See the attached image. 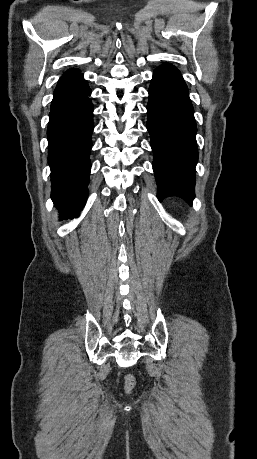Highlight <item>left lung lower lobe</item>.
I'll return each mask as SVG.
<instances>
[{
    "label": "left lung lower lobe",
    "instance_id": "0a47b994",
    "mask_svg": "<svg viewBox=\"0 0 257 459\" xmlns=\"http://www.w3.org/2000/svg\"><path fill=\"white\" fill-rule=\"evenodd\" d=\"M148 92L147 129L154 152L158 199L178 196L191 204L198 151L188 88L179 70L166 63L154 71Z\"/></svg>",
    "mask_w": 257,
    "mask_h": 459
}]
</instances>
